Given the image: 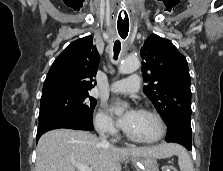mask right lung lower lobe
<instances>
[{
    "label": "right lung lower lobe",
    "mask_w": 223,
    "mask_h": 171,
    "mask_svg": "<svg viewBox=\"0 0 223 171\" xmlns=\"http://www.w3.org/2000/svg\"><path fill=\"white\" fill-rule=\"evenodd\" d=\"M92 123L93 121H88L77 115L68 113L48 116L39 121L36 142L45 132L53 129L69 128L91 131L94 129Z\"/></svg>",
    "instance_id": "right-lung-lower-lobe-1"
}]
</instances>
